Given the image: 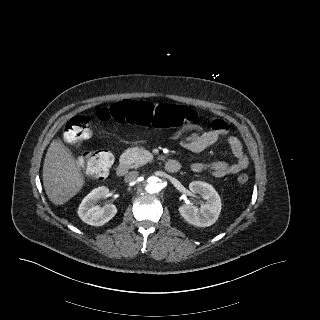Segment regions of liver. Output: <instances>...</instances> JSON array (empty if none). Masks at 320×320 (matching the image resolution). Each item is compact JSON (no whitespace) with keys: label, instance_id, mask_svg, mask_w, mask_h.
Masks as SVG:
<instances>
[{"label":"liver","instance_id":"liver-1","mask_svg":"<svg viewBox=\"0 0 320 320\" xmlns=\"http://www.w3.org/2000/svg\"><path fill=\"white\" fill-rule=\"evenodd\" d=\"M43 185L50 201L62 205L75 196L84 185L71 152L63 144L51 142L43 165Z\"/></svg>","mask_w":320,"mask_h":320}]
</instances>
